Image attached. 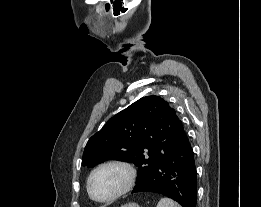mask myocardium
I'll return each mask as SVG.
<instances>
[{
    "instance_id": "myocardium-1",
    "label": "myocardium",
    "mask_w": 261,
    "mask_h": 207,
    "mask_svg": "<svg viewBox=\"0 0 261 207\" xmlns=\"http://www.w3.org/2000/svg\"><path fill=\"white\" fill-rule=\"evenodd\" d=\"M106 167H119L121 169H123L126 172L127 175V180L125 185L123 186V188L121 190H119L117 193H115L114 195H112L109 198L106 199H99L97 198L92 190V180L93 177L95 176V174L100 171L103 168ZM136 170L135 168L128 162L125 161H121V160H111V161H107L104 163H101L100 165H98L97 167H95L92 172L90 173L88 180H87V191L88 194L90 196V198L97 202V203H110L115 201L116 199L122 197L123 195L127 194L134 186L135 181H136Z\"/></svg>"
}]
</instances>
